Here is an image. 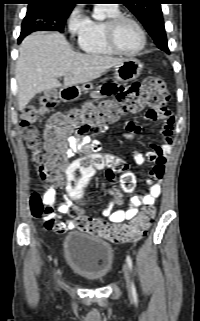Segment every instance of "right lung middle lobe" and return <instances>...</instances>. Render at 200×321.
<instances>
[{
	"label": "right lung middle lobe",
	"instance_id": "obj_1",
	"mask_svg": "<svg viewBox=\"0 0 200 321\" xmlns=\"http://www.w3.org/2000/svg\"><path fill=\"white\" fill-rule=\"evenodd\" d=\"M71 9L46 4H29L22 22L19 42L34 31H64V25Z\"/></svg>",
	"mask_w": 200,
	"mask_h": 321
}]
</instances>
